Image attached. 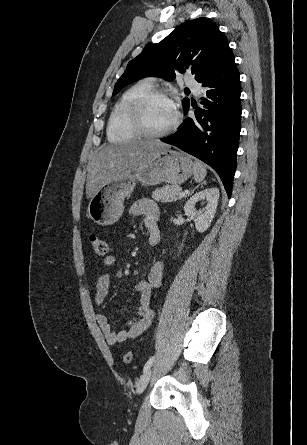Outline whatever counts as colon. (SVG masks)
I'll list each match as a JSON object with an SVG mask.
<instances>
[{
  "label": "colon",
  "mask_w": 307,
  "mask_h": 445,
  "mask_svg": "<svg viewBox=\"0 0 307 445\" xmlns=\"http://www.w3.org/2000/svg\"><path fill=\"white\" fill-rule=\"evenodd\" d=\"M90 243L96 254L100 256H105L108 253L109 247L107 242L97 234L90 235ZM133 354L130 350L126 351L122 355V360L124 363L128 364L132 361Z\"/></svg>",
  "instance_id": "obj_1"
}]
</instances>
